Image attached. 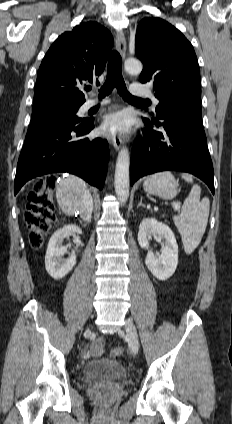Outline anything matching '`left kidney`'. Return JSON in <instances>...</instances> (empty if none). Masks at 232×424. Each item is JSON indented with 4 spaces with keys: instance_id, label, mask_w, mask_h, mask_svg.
<instances>
[{
    "instance_id": "obj_1",
    "label": "left kidney",
    "mask_w": 232,
    "mask_h": 424,
    "mask_svg": "<svg viewBox=\"0 0 232 424\" xmlns=\"http://www.w3.org/2000/svg\"><path fill=\"white\" fill-rule=\"evenodd\" d=\"M158 236L165 240L162 253L158 257L148 251L145 264L154 277L164 281L170 278L178 264V245L173 231L166 224L154 218H145L139 226L138 243L142 248L149 247L148 236Z\"/></svg>"
}]
</instances>
